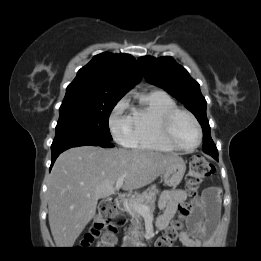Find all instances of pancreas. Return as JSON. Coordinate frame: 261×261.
<instances>
[{
	"instance_id": "1",
	"label": "pancreas",
	"mask_w": 261,
	"mask_h": 261,
	"mask_svg": "<svg viewBox=\"0 0 261 261\" xmlns=\"http://www.w3.org/2000/svg\"><path fill=\"white\" fill-rule=\"evenodd\" d=\"M159 194L156 186H152L145 190L142 194L130 199L124 205V210L131 216V226L128 230L126 241L134 245L140 244L142 239L141 221L144 213L138 211V207L143 205L149 208L147 213H152L155 208L156 195Z\"/></svg>"
}]
</instances>
